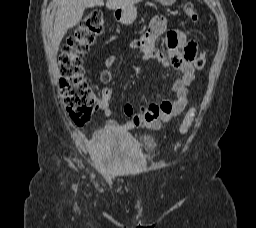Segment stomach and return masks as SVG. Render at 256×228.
Wrapping results in <instances>:
<instances>
[{"label":"stomach","mask_w":256,"mask_h":228,"mask_svg":"<svg viewBox=\"0 0 256 228\" xmlns=\"http://www.w3.org/2000/svg\"><path fill=\"white\" fill-rule=\"evenodd\" d=\"M163 6H171L176 0H158ZM115 19L125 25L132 24L137 17V9L134 5L118 8L114 12Z\"/></svg>","instance_id":"stomach-1"}]
</instances>
